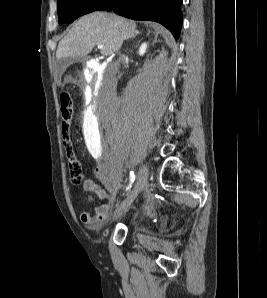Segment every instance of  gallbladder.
Here are the masks:
<instances>
[{"label":"gallbladder","instance_id":"bac80fb5","mask_svg":"<svg viewBox=\"0 0 267 298\" xmlns=\"http://www.w3.org/2000/svg\"><path fill=\"white\" fill-rule=\"evenodd\" d=\"M87 56L76 57V58H63L57 61V72L62 73L69 65H71L76 60L86 61Z\"/></svg>","mask_w":267,"mask_h":298}]
</instances>
